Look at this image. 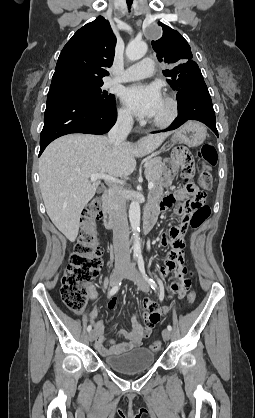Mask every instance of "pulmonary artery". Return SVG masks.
Wrapping results in <instances>:
<instances>
[{"label": "pulmonary artery", "instance_id": "obj_1", "mask_svg": "<svg viewBox=\"0 0 255 418\" xmlns=\"http://www.w3.org/2000/svg\"><path fill=\"white\" fill-rule=\"evenodd\" d=\"M155 70L154 61L151 58H144L140 62L126 68L114 82H129L139 80L153 75Z\"/></svg>", "mask_w": 255, "mask_h": 418}]
</instances>
